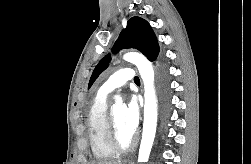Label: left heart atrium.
<instances>
[{"label":"left heart atrium","instance_id":"39dd6f15","mask_svg":"<svg viewBox=\"0 0 251 164\" xmlns=\"http://www.w3.org/2000/svg\"><path fill=\"white\" fill-rule=\"evenodd\" d=\"M140 119V107L137 98L132 97L124 110V123L129 132L135 133Z\"/></svg>","mask_w":251,"mask_h":164}]
</instances>
